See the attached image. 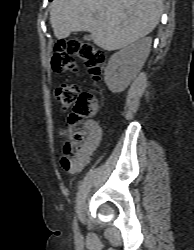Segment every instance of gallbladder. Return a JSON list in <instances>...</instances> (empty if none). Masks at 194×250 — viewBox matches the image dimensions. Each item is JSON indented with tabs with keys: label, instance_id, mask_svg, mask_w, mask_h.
Masks as SVG:
<instances>
[{
	"label": "gallbladder",
	"instance_id": "bac80fb5",
	"mask_svg": "<svg viewBox=\"0 0 194 250\" xmlns=\"http://www.w3.org/2000/svg\"><path fill=\"white\" fill-rule=\"evenodd\" d=\"M84 39L90 40V39H91V35H85V36H84Z\"/></svg>",
	"mask_w": 194,
	"mask_h": 250
}]
</instances>
